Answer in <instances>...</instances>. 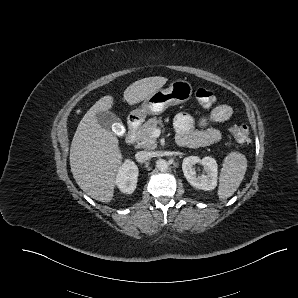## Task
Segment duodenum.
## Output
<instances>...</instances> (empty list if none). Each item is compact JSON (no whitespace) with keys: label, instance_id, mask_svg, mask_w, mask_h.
Listing matches in <instances>:
<instances>
[{"label":"duodenum","instance_id":"obj_1","mask_svg":"<svg viewBox=\"0 0 298 298\" xmlns=\"http://www.w3.org/2000/svg\"><path fill=\"white\" fill-rule=\"evenodd\" d=\"M138 127L139 119L137 117H132L128 122V132L125 137L128 144L136 145ZM176 141L179 146L188 148L198 147L202 144L201 140L197 136L189 134H178Z\"/></svg>","mask_w":298,"mask_h":298}]
</instances>
